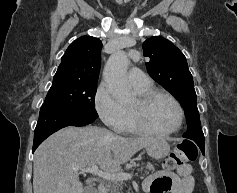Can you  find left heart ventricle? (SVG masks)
Returning a JSON list of instances; mask_svg holds the SVG:
<instances>
[{
  "instance_id": "obj_1",
  "label": "left heart ventricle",
  "mask_w": 237,
  "mask_h": 193,
  "mask_svg": "<svg viewBox=\"0 0 237 193\" xmlns=\"http://www.w3.org/2000/svg\"><path fill=\"white\" fill-rule=\"evenodd\" d=\"M130 109L137 112L141 122L153 130H170L174 128L178 122L179 115L177 108L173 102L166 97H158L146 107H142L139 100H136Z\"/></svg>"
}]
</instances>
